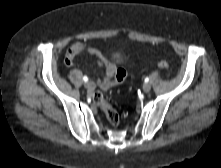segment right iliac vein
Segmentation results:
<instances>
[{
    "mask_svg": "<svg viewBox=\"0 0 221 168\" xmlns=\"http://www.w3.org/2000/svg\"><path fill=\"white\" fill-rule=\"evenodd\" d=\"M84 86H85L87 89H89V90H91V89L94 88V84H93V82H91V81L85 82Z\"/></svg>",
    "mask_w": 221,
    "mask_h": 168,
    "instance_id": "1",
    "label": "right iliac vein"
}]
</instances>
